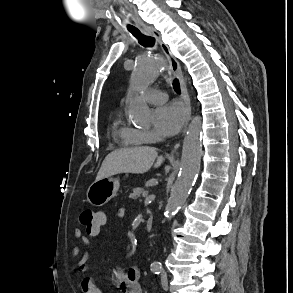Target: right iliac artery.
Here are the masks:
<instances>
[{"instance_id": "right-iliac-artery-1", "label": "right iliac artery", "mask_w": 293, "mask_h": 293, "mask_svg": "<svg viewBox=\"0 0 293 293\" xmlns=\"http://www.w3.org/2000/svg\"><path fill=\"white\" fill-rule=\"evenodd\" d=\"M151 270H152V272L155 273V274H159V273L161 272V268H159V267H154V268H152Z\"/></svg>"}]
</instances>
